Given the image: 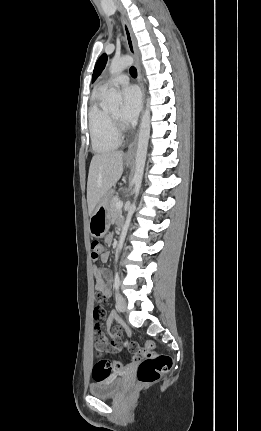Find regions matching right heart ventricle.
Listing matches in <instances>:
<instances>
[{"instance_id": "e07e8e85", "label": "right heart ventricle", "mask_w": 261, "mask_h": 431, "mask_svg": "<svg viewBox=\"0 0 261 431\" xmlns=\"http://www.w3.org/2000/svg\"><path fill=\"white\" fill-rule=\"evenodd\" d=\"M104 89L96 92L89 110V132L93 150L106 154L116 150L121 143L120 135L115 130L109 112L102 106Z\"/></svg>"}]
</instances>
